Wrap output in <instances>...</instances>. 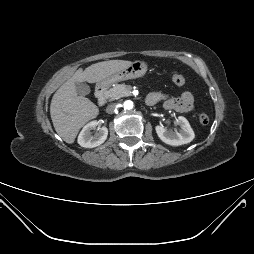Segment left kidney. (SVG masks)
Listing matches in <instances>:
<instances>
[{
	"instance_id": "1",
	"label": "left kidney",
	"mask_w": 254,
	"mask_h": 254,
	"mask_svg": "<svg viewBox=\"0 0 254 254\" xmlns=\"http://www.w3.org/2000/svg\"><path fill=\"white\" fill-rule=\"evenodd\" d=\"M177 121L181 127L180 131L167 130L164 126L159 125L155 127L158 137L164 143L171 146H179L190 143L195 137L194 131L185 117L179 116Z\"/></svg>"
}]
</instances>
